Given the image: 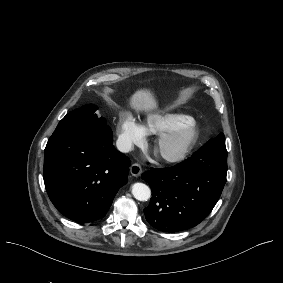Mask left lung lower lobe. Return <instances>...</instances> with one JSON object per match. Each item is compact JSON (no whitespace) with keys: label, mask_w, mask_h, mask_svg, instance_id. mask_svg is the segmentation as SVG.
Wrapping results in <instances>:
<instances>
[{"label":"left lung lower lobe","mask_w":283,"mask_h":283,"mask_svg":"<svg viewBox=\"0 0 283 283\" xmlns=\"http://www.w3.org/2000/svg\"><path fill=\"white\" fill-rule=\"evenodd\" d=\"M225 142L209 140L191 158L169 168L142 174L152 188L144 209L147 222L163 232L186 230L199 224L216 205L226 182Z\"/></svg>","instance_id":"left-lung-lower-lobe-1"}]
</instances>
